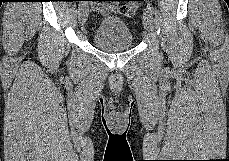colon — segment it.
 Here are the masks:
<instances>
[{
	"instance_id": "obj_1",
	"label": "colon",
	"mask_w": 229,
	"mask_h": 161,
	"mask_svg": "<svg viewBox=\"0 0 229 161\" xmlns=\"http://www.w3.org/2000/svg\"><path fill=\"white\" fill-rule=\"evenodd\" d=\"M138 5L136 1H129L121 7V13L125 17H132L137 11Z\"/></svg>"
}]
</instances>
